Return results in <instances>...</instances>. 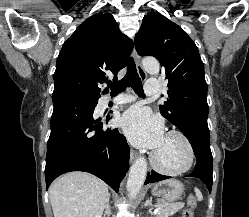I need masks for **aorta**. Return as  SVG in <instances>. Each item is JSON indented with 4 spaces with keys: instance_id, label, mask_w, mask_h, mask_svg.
<instances>
[{
    "instance_id": "aorta-1",
    "label": "aorta",
    "mask_w": 249,
    "mask_h": 217,
    "mask_svg": "<svg viewBox=\"0 0 249 217\" xmlns=\"http://www.w3.org/2000/svg\"><path fill=\"white\" fill-rule=\"evenodd\" d=\"M144 69L150 74H156L160 70L159 63L154 58H146L142 61ZM147 174V161L142 156L136 159L130 168L126 184L128 197L134 199L140 192Z\"/></svg>"
}]
</instances>
